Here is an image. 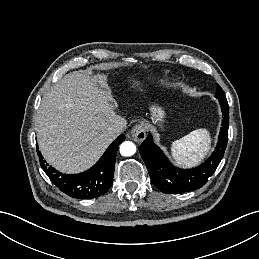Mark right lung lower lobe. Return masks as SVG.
Returning <instances> with one entry per match:
<instances>
[{"label":"right lung lower lobe","instance_id":"98d812e1","mask_svg":"<svg viewBox=\"0 0 259 259\" xmlns=\"http://www.w3.org/2000/svg\"><path fill=\"white\" fill-rule=\"evenodd\" d=\"M125 140L121 135L106 150L101 159L91 169L75 175L62 174L48 166L37 147L42 169L50 180L65 194L74 198H95L105 194L113 183L115 157L118 145Z\"/></svg>","mask_w":259,"mask_h":259}]
</instances>
